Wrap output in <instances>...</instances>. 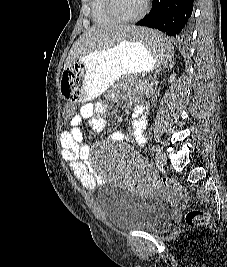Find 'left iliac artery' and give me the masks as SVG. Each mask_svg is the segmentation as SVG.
Segmentation results:
<instances>
[{
  "label": "left iliac artery",
  "instance_id": "obj_1",
  "mask_svg": "<svg viewBox=\"0 0 227 267\" xmlns=\"http://www.w3.org/2000/svg\"><path fill=\"white\" fill-rule=\"evenodd\" d=\"M152 150L155 151L154 147H152Z\"/></svg>",
  "mask_w": 227,
  "mask_h": 267
}]
</instances>
